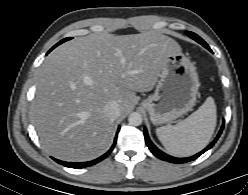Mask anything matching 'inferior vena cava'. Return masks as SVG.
Segmentation results:
<instances>
[{
	"instance_id": "inferior-vena-cava-1",
	"label": "inferior vena cava",
	"mask_w": 248,
	"mask_h": 195,
	"mask_svg": "<svg viewBox=\"0 0 248 195\" xmlns=\"http://www.w3.org/2000/svg\"><path fill=\"white\" fill-rule=\"evenodd\" d=\"M103 112L111 120H115L121 115L120 106L116 101H109L104 106Z\"/></svg>"
}]
</instances>
